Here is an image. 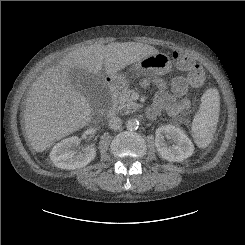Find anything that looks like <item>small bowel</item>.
Instances as JSON below:
<instances>
[{
  "mask_svg": "<svg viewBox=\"0 0 245 245\" xmlns=\"http://www.w3.org/2000/svg\"><path fill=\"white\" fill-rule=\"evenodd\" d=\"M148 83L157 88L153 104L147 110L148 118H154L160 111H164L170 117H175L190 106V100L184 98L187 91L185 77H174L170 88L161 79H149Z\"/></svg>",
  "mask_w": 245,
  "mask_h": 245,
  "instance_id": "obj_1",
  "label": "small bowel"
}]
</instances>
